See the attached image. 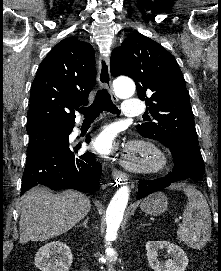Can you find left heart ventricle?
<instances>
[{
  "instance_id": "obj_1",
  "label": "left heart ventricle",
  "mask_w": 221,
  "mask_h": 271,
  "mask_svg": "<svg viewBox=\"0 0 221 271\" xmlns=\"http://www.w3.org/2000/svg\"><path fill=\"white\" fill-rule=\"evenodd\" d=\"M135 163H138V160H135Z\"/></svg>"
}]
</instances>
